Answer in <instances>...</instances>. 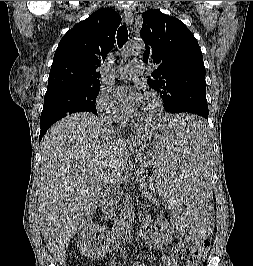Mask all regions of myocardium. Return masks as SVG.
<instances>
[{"mask_svg": "<svg viewBox=\"0 0 253 266\" xmlns=\"http://www.w3.org/2000/svg\"><path fill=\"white\" fill-rule=\"evenodd\" d=\"M144 95L153 99V101L156 104V112L153 115V117L147 122L141 123V122H137L134 119H131V123L136 127L149 128V127L154 126L160 120L162 113H163V102L161 98L155 92L147 91L145 92Z\"/></svg>", "mask_w": 253, "mask_h": 266, "instance_id": "myocardium-1", "label": "myocardium"}]
</instances>
